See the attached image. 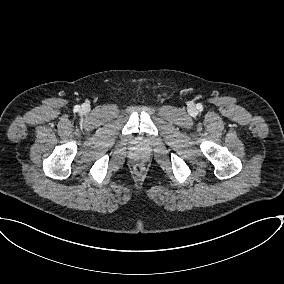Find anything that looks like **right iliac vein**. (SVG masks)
Instances as JSON below:
<instances>
[{
	"instance_id": "1",
	"label": "right iliac vein",
	"mask_w": 284,
	"mask_h": 284,
	"mask_svg": "<svg viewBox=\"0 0 284 284\" xmlns=\"http://www.w3.org/2000/svg\"><path fill=\"white\" fill-rule=\"evenodd\" d=\"M83 110H84L85 112H87V111H89V107H88V106H85V107L83 108Z\"/></svg>"
}]
</instances>
